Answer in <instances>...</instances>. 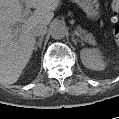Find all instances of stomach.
Wrapping results in <instances>:
<instances>
[{"instance_id":"0dacf381","label":"stomach","mask_w":119,"mask_h":119,"mask_svg":"<svg viewBox=\"0 0 119 119\" xmlns=\"http://www.w3.org/2000/svg\"><path fill=\"white\" fill-rule=\"evenodd\" d=\"M86 13L87 17L95 19L99 15L98 0H74Z\"/></svg>"}]
</instances>
